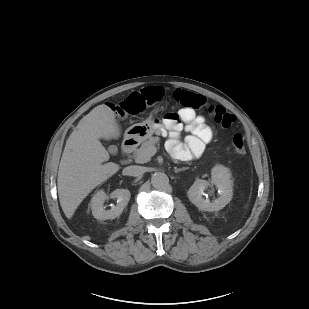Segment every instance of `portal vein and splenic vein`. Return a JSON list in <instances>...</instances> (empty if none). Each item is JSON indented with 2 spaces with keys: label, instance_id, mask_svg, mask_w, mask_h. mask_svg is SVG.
Wrapping results in <instances>:
<instances>
[{
  "label": "portal vein and splenic vein",
  "instance_id": "portal-vein-and-splenic-vein-1",
  "mask_svg": "<svg viewBox=\"0 0 309 309\" xmlns=\"http://www.w3.org/2000/svg\"><path fill=\"white\" fill-rule=\"evenodd\" d=\"M156 151H157L156 147H152L149 149L148 155L151 157L156 153Z\"/></svg>",
  "mask_w": 309,
  "mask_h": 309
}]
</instances>
